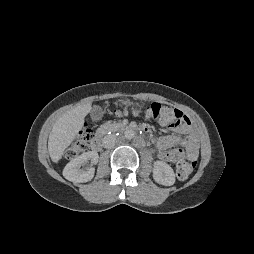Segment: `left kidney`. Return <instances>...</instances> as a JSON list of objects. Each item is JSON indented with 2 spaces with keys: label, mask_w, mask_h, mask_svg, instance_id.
Here are the masks:
<instances>
[{
  "label": "left kidney",
  "mask_w": 254,
  "mask_h": 254,
  "mask_svg": "<svg viewBox=\"0 0 254 254\" xmlns=\"http://www.w3.org/2000/svg\"><path fill=\"white\" fill-rule=\"evenodd\" d=\"M153 178L161 185L171 186L175 183V174L173 169L163 161H155L153 167Z\"/></svg>",
  "instance_id": "5707ae66"
}]
</instances>
